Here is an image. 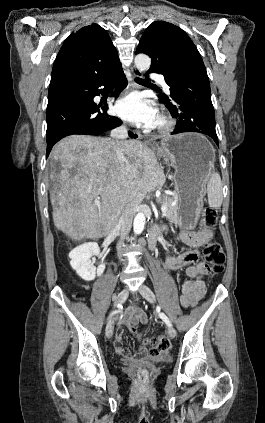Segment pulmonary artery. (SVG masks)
Segmentation results:
<instances>
[{"mask_svg":"<svg viewBox=\"0 0 265 423\" xmlns=\"http://www.w3.org/2000/svg\"><path fill=\"white\" fill-rule=\"evenodd\" d=\"M152 78H158L160 83L162 84L164 90L169 93V86L165 83L164 78L162 76H159L158 74H152Z\"/></svg>","mask_w":265,"mask_h":423,"instance_id":"e3ab8cb5","label":"pulmonary artery"}]
</instances>
